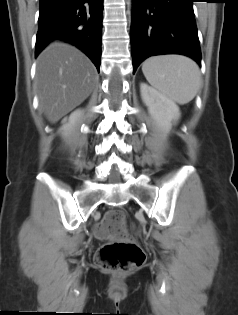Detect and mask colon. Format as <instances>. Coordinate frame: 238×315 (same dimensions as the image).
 <instances>
[{
  "mask_svg": "<svg viewBox=\"0 0 238 315\" xmlns=\"http://www.w3.org/2000/svg\"><path fill=\"white\" fill-rule=\"evenodd\" d=\"M125 223V214L114 210L106 213L95 228L97 238L110 241L100 247L95 256L96 264L106 271L127 272L145 261L142 248L128 237Z\"/></svg>",
  "mask_w": 238,
  "mask_h": 315,
  "instance_id": "colon-1",
  "label": "colon"
}]
</instances>
